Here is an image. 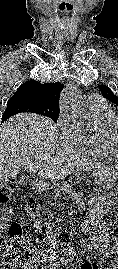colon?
<instances>
[{
    "label": "colon",
    "instance_id": "5ec220e1",
    "mask_svg": "<svg viewBox=\"0 0 118 269\" xmlns=\"http://www.w3.org/2000/svg\"><path fill=\"white\" fill-rule=\"evenodd\" d=\"M12 191V185H0V205L8 202ZM29 207L34 211L36 203L30 200ZM116 226L118 229V221ZM10 229L11 235L5 241L4 252L0 254V269H20L23 265L28 264L32 257L29 240L21 235V225L13 223Z\"/></svg>",
    "mask_w": 118,
    "mask_h": 269
}]
</instances>
